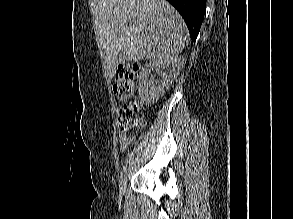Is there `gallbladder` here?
Listing matches in <instances>:
<instances>
[{"mask_svg":"<svg viewBox=\"0 0 293 219\" xmlns=\"http://www.w3.org/2000/svg\"><path fill=\"white\" fill-rule=\"evenodd\" d=\"M126 60L127 59L125 58L124 54L122 52H119V54H118V61H119V63L120 64H124L126 62Z\"/></svg>","mask_w":293,"mask_h":219,"instance_id":"bac80fb5","label":"gallbladder"}]
</instances>
